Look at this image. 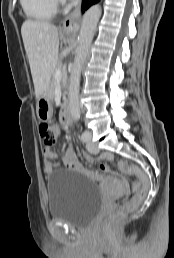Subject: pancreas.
<instances>
[{
  "instance_id": "cf45deb5",
  "label": "pancreas",
  "mask_w": 174,
  "mask_h": 258,
  "mask_svg": "<svg viewBox=\"0 0 174 258\" xmlns=\"http://www.w3.org/2000/svg\"><path fill=\"white\" fill-rule=\"evenodd\" d=\"M58 69H61V63H58L53 71V77H52V83H51V86H50V93L52 95V98L54 97V90H55V87H56V79H55V72L56 70Z\"/></svg>"
}]
</instances>
